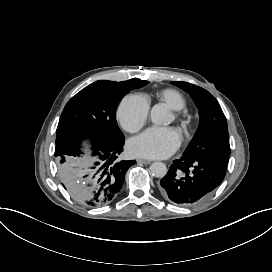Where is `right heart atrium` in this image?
<instances>
[{
  "instance_id": "right-heart-atrium-1",
  "label": "right heart atrium",
  "mask_w": 272,
  "mask_h": 272,
  "mask_svg": "<svg viewBox=\"0 0 272 272\" xmlns=\"http://www.w3.org/2000/svg\"><path fill=\"white\" fill-rule=\"evenodd\" d=\"M149 110V102L143 95L130 94L120 104L118 119L126 131L136 133L145 125Z\"/></svg>"
}]
</instances>
